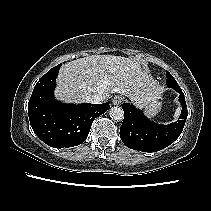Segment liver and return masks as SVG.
Segmentation results:
<instances>
[{"mask_svg": "<svg viewBox=\"0 0 211 211\" xmlns=\"http://www.w3.org/2000/svg\"><path fill=\"white\" fill-rule=\"evenodd\" d=\"M57 84L56 98L67 103L84 102L93 94L105 100L119 93L142 107L162 94L139 63L115 55H90L67 62L60 69Z\"/></svg>", "mask_w": 211, "mask_h": 211, "instance_id": "obj_1", "label": "liver"}]
</instances>
